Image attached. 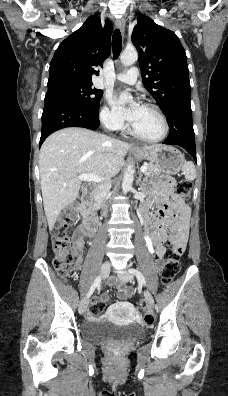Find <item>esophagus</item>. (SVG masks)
Instances as JSON below:
<instances>
[{
	"label": "esophagus",
	"mask_w": 228,
	"mask_h": 396,
	"mask_svg": "<svg viewBox=\"0 0 228 396\" xmlns=\"http://www.w3.org/2000/svg\"><path fill=\"white\" fill-rule=\"evenodd\" d=\"M116 27L120 29L122 33H124L125 30V20L123 18L117 19L115 21Z\"/></svg>",
	"instance_id": "esophagus-1"
}]
</instances>
